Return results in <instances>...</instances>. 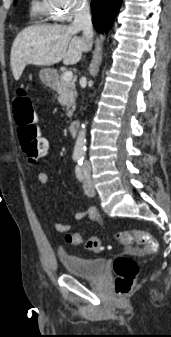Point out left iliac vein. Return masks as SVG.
<instances>
[{"instance_id": "4c4485c4", "label": "left iliac vein", "mask_w": 171, "mask_h": 337, "mask_svg": "<svg viewBox=\"0 0 171 337\" xmlns=\"http://www.w3.org/2000/svg\"><path fill=\"white\" fill-rule=\"evenodd\" d=\"M84 192L89 197H93L96 194L93 181L89 174H86L84 177Z\"/></svg>"}]
</instances>
